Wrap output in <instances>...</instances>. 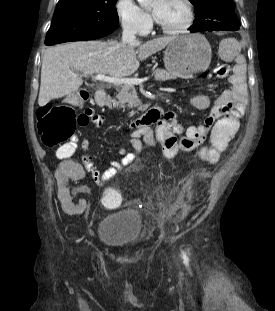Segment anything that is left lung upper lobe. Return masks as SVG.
I'll use <instances>...</instances> for the list:
<instances>
[{"label": "left lung upper lobe", "mask_w": 275, "mask_h": 311, "mask_svg": "<svg viewBox=\"0 0 275 311\" xmlns=\"http://www.w3.org/2000/svg\"><path fill=\"white\" fill-rule=\"evenodd\" d=\"M196 8L192 29L237 31L240 22L232 0H189Z\"/></svg>", "instance_id": "1"}]
</instances>
